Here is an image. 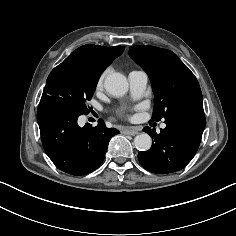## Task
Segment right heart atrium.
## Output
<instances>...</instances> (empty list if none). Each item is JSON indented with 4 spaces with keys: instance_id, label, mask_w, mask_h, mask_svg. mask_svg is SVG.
Returning <instances> with one entry per match:
<instances>
[{
    "instance_id": "d8ad5b80",
    "label": "right heart atrium",
    "mask_w": 236,
    "mask_h": 236,
    "mask_svg": "<svg viewBox=\"0 0 236 236\" xmlns=\"http://www.w3.org/2000/svg\"><path fill=\"white\" fill-rule=\"evenodd\" d=\"M109 72L108 69H106L105 71L102 72V74L99 76L98 80H97V86H101L103 81H104V78L105 76L107 75V73Z\"/></svg>"
}]
</instances>
